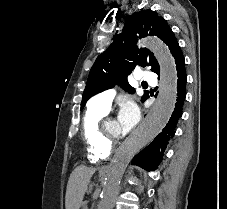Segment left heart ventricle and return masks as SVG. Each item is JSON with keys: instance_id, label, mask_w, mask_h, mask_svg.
<instances>
[{"instance_id": "left-heart-ventricle-1", "label": "left heart ventricle", "mask_w": 227, "mask_h": 209, "mask_svg": "<svg viewBox=\"0 0 227 209\" xmlns=\"http://www.w3.org/2000/svg\"><path fill=\"white\" fill-rule=\"evenodd\" d=\"M105 131L111 138H124L127 134L115 119L107 122L105 125Z\"/></svg>"}]
</instances>
